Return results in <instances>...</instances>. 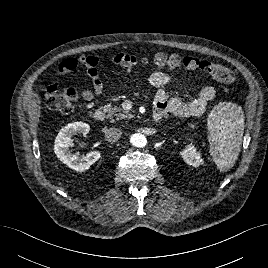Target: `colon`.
Here are the masks:
<instances>
[{
	"label": "colon",
	"mask_w": 268,
	"mask_h": 268,
	"mask_svg": "<svg viewBox=\"0 0 268 268\" xmlns=\"http://www.w3.org/2000/svg\"><path fill=\"white\" fill-rule=\"evenodd\" d=\"M153 64L160 69H176L183 67L188 72L200 71L210 75L223 84H230L234 81V74L227 67L192 56L182 57L178 54L169 55L160 53L154 57ZM128 65L127 61L120 63L121 67H127ZM76 98L77 92L73 88H66L59 93L49 92L47 95V106L52 110L68 113L72 110Z\"/></svg>",
	"instance_id": "1"
}]
</instances>
